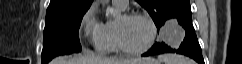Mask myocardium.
Returning <instances> with one entry per match:
<instances>
[{
  "instance_id": "obj_1",
  "label": "myocardium",
  "mask_w": 242,
  "mask_h": 64,
  "mask_svg": "<svg viewBox=\"0 0 242 64\" xmlns=\"http://www.w3.org/2000/svg\"><path fill=\"white\" fill-rule=\"evenodd\" d=\"M122 17L125 19L137 18V19H142V20L146 21L150 27V36H149L147 43L144 46H142L140 48L128 47L124 43L122 36H121L120 28H119L118 24L116 23V39H117L118 48L121 51H123L124 53L130 54V55H139V54L147 52L153 46L156 36H157V27H156V24L153 21V19L149 15L140 13V12L127 13V14H124Z\"/></svg>"
}]
</instances>
